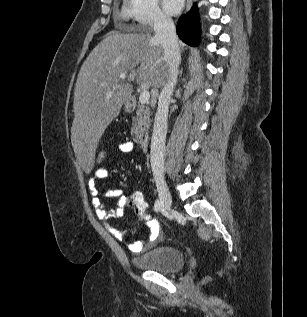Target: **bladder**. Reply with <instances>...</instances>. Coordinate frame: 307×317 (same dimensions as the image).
Masks as SVG:
<instances>
[{
  "instance_id": "1",
  "label": "bladder",
  "mask_w": 307,
  "mask_h": 317,
  "mask_svg": "<svg viewBox=\"0 0 307 317\" xmlns=\"http://www.w3.org/2000/svg\"><path fill=\"white\" fill-rule=\"evenodd\" d=\"M132 263L142 270L158 271L169 274L184 266V259L176 247H157L141 256L132 258Z\"/></svg>"
}]
</instances>
